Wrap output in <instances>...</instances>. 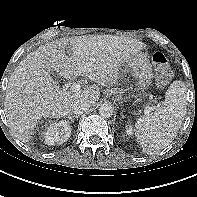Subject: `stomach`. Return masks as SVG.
Listing matches in <instances>:
<instances>
[{"label": "stomach", "mask_w": 197, "mask_h": 197, "mask_svg": "<svg viewBox=\"0 0 197 197\" xmlns=\"http://www.w3.org/2000/svg\"><path fill=\"white\" fill-rule=\"evenodd\" d=\"M127 66L132 76L135 78L138 96L142 98L153 78L150 61L145 54L138 53L129 59Z\"/></svg>", "instance_id": "0dacf381"}]
</instances>
